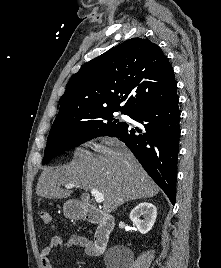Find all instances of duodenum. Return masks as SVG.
<instances>
[{
  "label": "duodenum",
  "instance_id": "duodenum-1",
  "mask_svg": "<svg viewBox=\"0 0 221 268\" xmlns=\"http://www.w3.org/2000/svg\"><path fill=\"white\" fill-rule=\"evenodd\" d=\"M81 218L88 222L97 224L93 244L96 253L102 254L108 245L110 235L114 229V218L89 205L82 208Z\"/></svg>",
  "mask_w": 221,
  "mask_h": 268
}]
</instances>
